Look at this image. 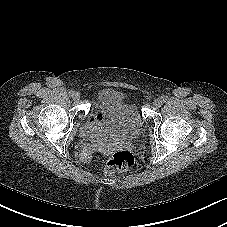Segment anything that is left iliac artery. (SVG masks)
<instances>
[{
	"mask_svg": "<svg viewBox=\"0 0 227 227\" xmlns=\"http://www.w3.org/2000/svg\"><path fill=\"white\" fill-rule=\"evenodd\" d=\"M167 101V97L166 96H162L161 97V102H166Z\"/></svg>",
	"mask_w": 227,
	"mask_h": 227,
	"instance_id": "1",
	"label": "left iliac artery"
}]
</instances>
